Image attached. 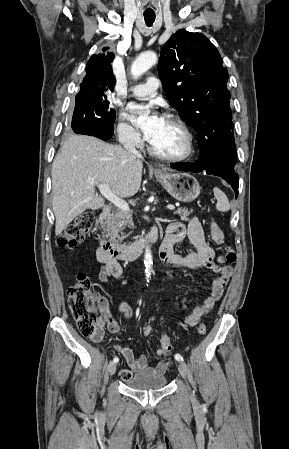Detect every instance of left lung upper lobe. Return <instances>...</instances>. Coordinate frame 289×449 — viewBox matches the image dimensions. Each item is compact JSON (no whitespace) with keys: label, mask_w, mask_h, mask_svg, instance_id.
I'll list each match as a JSON object with an SVG mask.
<instances>
[{"label":"left lung upper lobe","mask_w":289,"mask_h":449,"mask_svg":"<svg viewBox=\"0 0 289 449\" xmlns=\"http://www.w3.org/2000/svg\"><path fill=\"white\" fill-rule=\"evenodd\" d=\"M215 46L202 34L177 31L165 43L158 74L170 104L198 133L201 161L222 171L236 165L228 72Z\"/></svg>","instance_id":"obj_1"}]
</instances>
